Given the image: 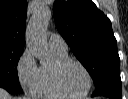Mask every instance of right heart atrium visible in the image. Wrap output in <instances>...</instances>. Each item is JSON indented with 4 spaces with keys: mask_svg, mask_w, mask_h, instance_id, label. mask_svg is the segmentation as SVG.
<instances>
[{
    "mask_svg": "<svg viewBox=\"0 0 128 99\" xmlns=\"http://www.w3.org/2000/svg\"><path fill=\"white\" fill-rule=\"evenodd\" d=\"M16 69L20 86L31 91L37 79L38 67L34 55L29 49L24 50L19 57Z\"/></svg>",
    "mask_w": 128,
    "mask_h": 99,
    "instance_id": "right-heart-atrium-1",
    "label": "right heart atrium"
}]
</instances>
